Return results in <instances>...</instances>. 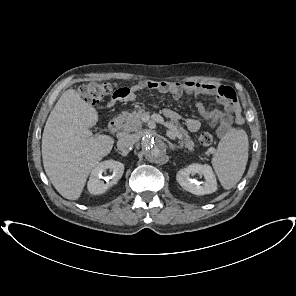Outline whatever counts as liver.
<instances>
[{"label":"liver","instance_id":"1","mask_svg":"<svg viewBox=\"0 0 296 296\" xmlns=\"http://www.w3.org/2000/svg\"><path fill=\"white\" fill-rule=\"evenodd\" d=\"M97 110L74 89L66 90L51 111L42 135L47 176L64 198L77 200L92 170L112 150L114 139L93 135Z\"/></svg>","mask_w":296,"mask_h":296}]
</instances>
